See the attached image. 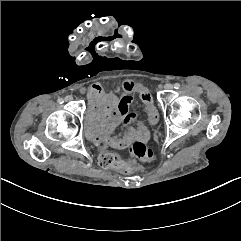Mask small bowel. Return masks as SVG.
<instances>
[{
    "mask_svg": "<svg viewBox=\"0 0 241 241\" xmlns=\"http://www.w3.org/2000/svg\"><path fill=\"white\" fill-rule=\"evenodd\" d=\"M134 91L139 93L147 114L145 122L139 121L137 113L129 109ZM88 101L92 117L88 136L101 147L122 150L134 142L146 143L150 138L149 127L158 121V111L150 91L132 80L124 82L120 96L93 84L88 89Z\"/></svg>",
    "mask_w": 241,
    "mask_h": 241,
    "instance_id": "c3829d8e",
    "label": "small bowel"
}]
</instances>
